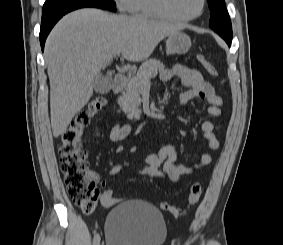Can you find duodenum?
Here are the masks:
<instances>
[{"label": "duodenum", "mask_w": 283, "mask_h": 245, "mask_svg": "<svg viewBox=\"0 0 283 245\" xmlns=\"http://www.w3.org/2000/svg\"><path fill=\"white\" fill-rule=\"evenodd\" d=\"M127 83V77L124 74H116L113 80V91L115 93H120L123 91Z\"/></svg>", "instance_id": "410a0bca"}]
</instances>
